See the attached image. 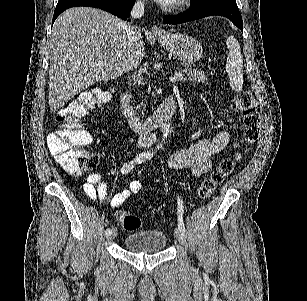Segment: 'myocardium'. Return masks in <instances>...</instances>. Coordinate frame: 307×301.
Returning a JSON list of instances; mask_svg holds the SVG:
<instances>
[{"label":"myocardium","instance_id":"1","mask_svg":"<svg viewBox=\"0 0 307 301\" xmlns=\"http://www.w3.org/2000/svg\"><path fill=\"white\" fill-rule=\"evenodd\" d=\"M178 2H180V1H173V3L171 4V6H175V5H177V4H181V3H178ZM183 2H184V3H187L188 0H183Z\"/></svg>","mask_w":307,"mask_h":301}]
</instances>
